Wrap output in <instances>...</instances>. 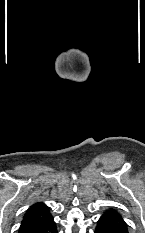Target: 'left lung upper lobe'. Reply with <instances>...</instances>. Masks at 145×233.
<instances>
[{
  "label": "left lung upper lobe",
  "mask_w": 145,
  "mask_h": 233,
  "mask_svg": "<svg viewBox=\"0 0 145 233\" xmlns=\"http://www.w3.org/2000/svg\"><path fill=\"white\" fill-rule=\"evenodd\" d=\"M100 220L107 222L115 229L122 231L123 233H128V225L123 220L120 213L114 209L107 210L103 213Z\"/></svg>",
  "instance_id": "5c2ea615"
}]
</instances>
